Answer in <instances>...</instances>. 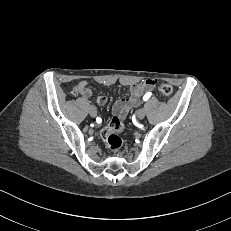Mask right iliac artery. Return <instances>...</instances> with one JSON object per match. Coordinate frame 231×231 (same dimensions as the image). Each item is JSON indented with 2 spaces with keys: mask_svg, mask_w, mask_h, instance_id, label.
<instances>
[{
  "mask_svg": "<svg viewBox=\"0 0 231 231\" xmlns=\"http://www.w3.org/2000/svg\"><path fill=\"white\" fill-rule=\"evenodd\" d=\"M96 121H97L98 123H101V122H102V119H101L100 117H97Z\"/></svg>",
  "mask_w": 231,
  "mask_h": 231,
  "instance_id": "obj_1",
  "label": "right iliac artery"
}]
</instances>
